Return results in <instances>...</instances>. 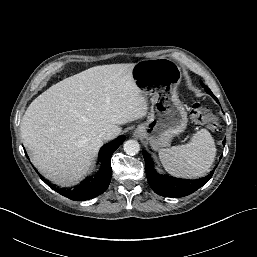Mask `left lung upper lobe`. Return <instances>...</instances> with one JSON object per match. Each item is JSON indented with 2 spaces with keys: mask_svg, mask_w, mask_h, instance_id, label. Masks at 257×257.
I'll list each match as a JSON object with an SVG mask.
<instances>
[{
  "mask_svg": "<svg viewBox=\"0 0 257 257\" xmlns=\"http://www.w3.org/2000/svg\"><path fill=\"white\" fill-rule=\"evenodd\" d=\"M201 85H202V87L205 89V91H206L208 94H210L211 96L213 95V93L211 92V90H210L206 85H204L202 82H201Z\"/></svg>",
  "mask_w": 257,
  "mask_h": 257,
  "instance_id": "obj_1",
  "label": "left lung upper lobe"
}]
</instances>
